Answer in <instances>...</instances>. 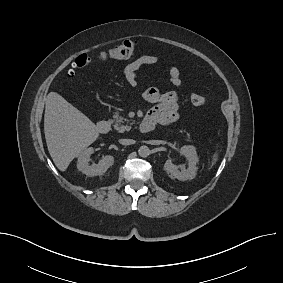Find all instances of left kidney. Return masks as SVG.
I'll use <instances>...</instances> for the list:
<instances>
[{
    "mask_svg": "<svg viewBox=\"0 0 283 283\" xmlns=\"http://www.w3.org/2000/svg\"><path fill=\"white\" fill-rule=\"evenodd\" d=\"M180 155L184 156L188 162V168L184 169L177 165H174L171 159H168L164 164V170L170 174L172 177L177 178L179 180H192L195 178L197 173V162L198 157L196 153V149L192 145H185L180 149Z\"/></svg>",
    "mask_w": 283,
    "mask_h": 283,
    "instance_id": "obj_1",
    "label": "left kidney"
}]
</instances>
